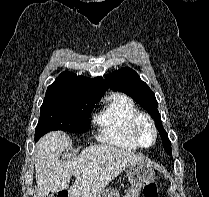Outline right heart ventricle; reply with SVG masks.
<instances>
[{
    "mask_svg": "<svg viewBox=\"0 0 209 197\" xmlns=\"http://www.w3.org/2000/svg\"><path fill=\"white\" fill-rule=\"evenodd\" d=\"M138 114L139 110L130 97L114 94L94 119L100 128L99 138L126 150H136L138 145L132 135V125Z\"/></svg>",
    "mask_w": 209,
    "mask_h": 197,
    "instance_id": "e07e8e85",
    "label": "right heart ventricle"
}]
</instances>
